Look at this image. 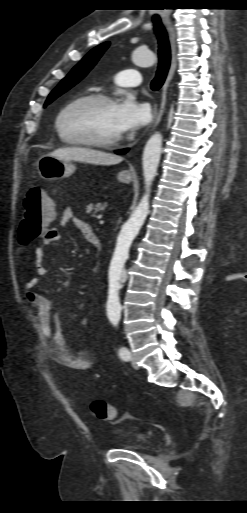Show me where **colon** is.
<instances>
[{"mask_svg":"<svg viewBox=\"0 0 247 513\" xmlns=\"http://www.w3.org/2000/svg\"><path fill=\"white\" fill-rule=\"evenodd\" d=\"M55 215L54 200L40 187L31 188L23 199V216L18 231L20 243L26 245L40 237L50 228ZM91 410L103 420H112L116 416L115 408L101 399L91 403Z\"/></svg>","mask_w":247,"mask_h":513,"instance_id":"5ec220e1","label":"colon"}]
</instances>
